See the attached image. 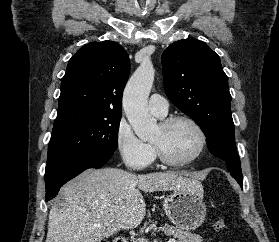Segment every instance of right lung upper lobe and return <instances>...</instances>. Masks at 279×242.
Returning <instances> with one entry per match:
<instances>
[{"label":"right lung upper lobe","mask_w":279,"mask_h":242,"mask_svg":"<svg viewBox=\"0 0 279 242\" xmlns=\"http://www.w3.org/2000/svg\"><path fill=\"white\" fill-rule=\"evenodd\" d=\"M130 72L124 48L114 41L91 42L69 61L61 83L58 114L91 110L121 115Z\"/></svg>","instance_id":"cb5924a9"}]
</instances>
